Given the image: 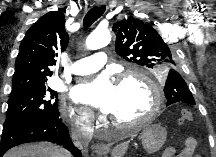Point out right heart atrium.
<instances>
[{"label": "right heart atrium", "instance_id": "1", "mask_svg": "<svg viewBox=\"0 0 216 157\" xmlns=\"http://www.w3.org/2000/svg\"><path fill=\"white\" fill-rule=\"evenodd\" d=\"M60 114L77 131L87 132L92 128L94 116L90 111L75 109L66 103H61Z\"/></svg>", "mask_w": 216, "mask_h": 157}]
</instances>
